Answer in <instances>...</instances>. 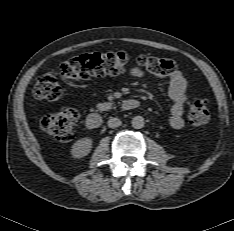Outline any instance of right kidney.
<instances>
[{"instance_id": "1", "label": "right kidney", "mask_w": 234, "mask_h": 231, "mask_svg": "<svg viewBox=\"0 0 234 231\" xmlns=\"http://www.w3.org/2000/svg\"><path fill=\"white\" fill-rule=\"evenodd\" d=\"M92 139L89 137L81 138L77 140L71 149V153L76 158H81L86 156L92 148Z\"/></svg>"}]
</instances>
